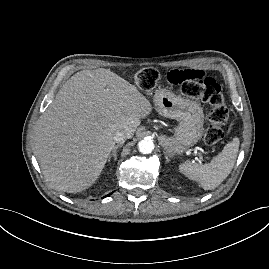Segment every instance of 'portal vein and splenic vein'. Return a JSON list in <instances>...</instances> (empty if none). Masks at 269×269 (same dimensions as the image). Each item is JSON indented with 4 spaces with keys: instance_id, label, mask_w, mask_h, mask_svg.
Masks as SVG:
<instances>
[{
    "instance_id": "portal-vein-and-splenic-vein-1",
    "label": "portal vein and splenic vein",
    "mask_w": 269,
    "mask_h": 269,
    "mask_svg": "<svg viewBox=\"0 0 269 269\" xmlns=\"http://www.w3.org/2000/svg\"><path fill=\"white\" fill-rule=\"evenodd\" d=\"M199 163H202L204 160H203V157L201 155H199V158L196 157L195 158Z\"/></svg>"
}]
</instances>
